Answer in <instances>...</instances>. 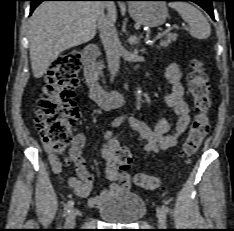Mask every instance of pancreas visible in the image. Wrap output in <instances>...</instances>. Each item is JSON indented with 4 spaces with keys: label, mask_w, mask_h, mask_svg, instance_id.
I'll return each mask as SVG.
<instances>
[{
    "label": "pancreas",
    "mask_w": 234,
    "mask_h": 231,
    "mask_svg": "<svg viewBox=\"0 0 234 231\" xmlns=\"http://www.w3.org/2000/svg\"><path fill=\"white\" fill-rule=\"evenodd\" d=\"M178 35L169 33L166 35L165 39L160 42L161 47H167L172 41H176ZM104 67L102 62L98 63L97 69L99 72H101L102 68Z\"/></svg>",
    "instance_id": "cf45deb5"
}]
</instances>
